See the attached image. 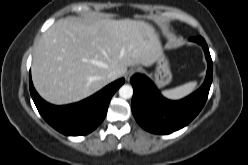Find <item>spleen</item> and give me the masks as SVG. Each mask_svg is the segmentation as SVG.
I'll return each instance as SVG.
<instances>
[{
	"instance_id": "obj_1",
	"label": "spleen",
	"mask_w": 248,
	"mask_h": 165,
	"mask_svg": "<svg viewBox=\"0 0 248 165\" xmlns=\"http://www.w3.org/2000/svg\"><path fill=\"white\" fill-rule=\"evenodd\" d=\"M196 85H197L196 82H188V83L183 84L181 86H178L176 88L163 91V95L166 98H169L172 100H178V99H181V98L187 96L191 92H193Z\"/></svg>"
}]
</instances>
